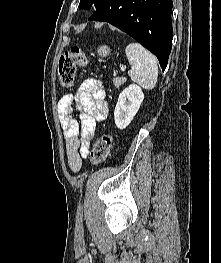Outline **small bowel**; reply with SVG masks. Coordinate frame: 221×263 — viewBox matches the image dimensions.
<instances>
[{
	"instance_id": "small-bowel-1",
	"label": "small bowel",
	"mask_w": 221,
	"mask_h": 263,
	"mask_svg": "<svg viewBox=\"0 0 221 263\" xmlns=\"http://www.w3.org/2000/svg\"><path fill=\"white\" fill-rule=\"evenodd\" d=\"M74 110L79 113V121L74 117ZM57 112L64 132L67 165L77 173L89 154L97 123L103 121L108 113L101 82L84 80L74 94H66L59 100Z\"/></svg>"
}]
</instances>
